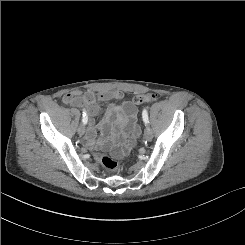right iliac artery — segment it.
I'll return each mask as SVG.
<instances>
[{
    "label": "right iliac artery",
    "instance_id": "right-iliac-artery-1",
    "mask_svg": "<svg viewBox=\"0 0 245 245\" xmlns=\"http://www.w3.org/2000/svg\"><path fill=\"white\" fill-rule=\"evenodd\" d=\"M87 121H88L87 112H86L85 109H83L82 123H83V124H87Z\"/></svg>",
    "mask_w": 245,
    "mask_h": 245
}]
</instances>
